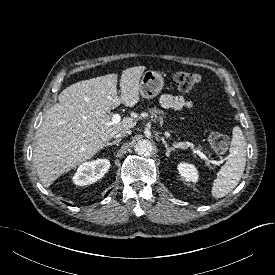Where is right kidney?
I'll list each match as a JSON object with an SVG mask.
<instances>
[{"mask_svg": "<svg viewBox=\"0 0 275 275\" xmlns=\"http://www.w3.org/2000/svg\"><path fill=\"white\" fill-rule=\"evenodd\" d=\"M110 168V161L97 159L81 164L73 176V182L79 186L92 184L101 179Z\"/></svg>", "mask_w": 275, "mask_h": 275, "instance_id": "obj_1", "label": "right kidney"}]
</instances>
